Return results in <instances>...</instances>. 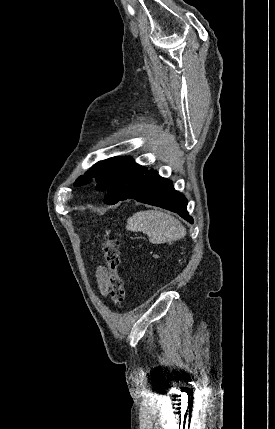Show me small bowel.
<instances>
[{"mask_svg": "<svg viewBox=\"0 0 275 429\" xmlns=\"http://www.w3.org/2000/svg\"><path fill=\"white\" fill-rule=\"evenodd\" d=\"M96 278H97L98 288L101 294L106 296L109 292V289L107 286V279H108L107 269L102 266L98 267L96 271Z\"/></svg>", "mask_w": 275, "mask_h": 429, "instance_id": "1", "label": "small bowel"}]
</instances>
